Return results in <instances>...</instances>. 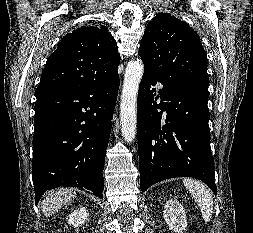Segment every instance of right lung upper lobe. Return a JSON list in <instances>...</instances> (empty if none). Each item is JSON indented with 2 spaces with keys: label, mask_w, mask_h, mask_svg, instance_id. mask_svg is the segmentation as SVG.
<instances>
[{
  "label": "right lung upper lobe",
  "mask_w": 253,
  "mask_h": 233,
  "mask_svg": "<svg viewBox=\"0 0 253 233\" xmlns=\"http://www.w3.org/2000/svg\"><path fill=\"white\" fill-rule=\"evenodd\" d=\"M120 55L105 26L90 25L65 35L48 58L36 95L104 79L117 71Z\"/></svg>",
  "instance_id": "right-lung-upper-lobe-1"
}]
</instances>
